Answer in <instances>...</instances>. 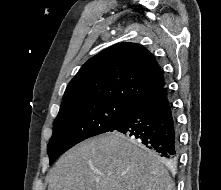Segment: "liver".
<instances>
[{
	"instance_id": "6515ba94",
	"label": "liver",
	"mask_w": 221,
	"mask_h": 190,
	"mask_svg": "<svg viewBox=\"0 0 221 190\" xmlns=\"http://www.w3.org/2000/svg\"><path fill=\"white\" fill-rule=\"evenodd\" d=\"M139 146L116 132L85 140L50 170L48 190H173L167 169Z\"/></svg>"
}]
</instances>
